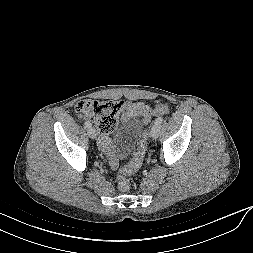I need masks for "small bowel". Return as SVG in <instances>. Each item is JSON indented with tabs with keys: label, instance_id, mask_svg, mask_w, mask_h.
<instances>
[{
	"label": "small bowel",
	"instance_id": "1",
	"mask_svg": "<svg viewBox=\"0 0 253 253\" xmlns=\"http://www.w3.org/2000/svg\"><path fill=\"white\" fill-rule=\"evenodd\" d=\"M122 109L126 110L130 115L140 116L144 122H148L152 115H163L168 112V106L158 104L155 107H150L148 104L140 101L125 102ZM100 145L109 159V164L112 168H117L120 161L123 159L122 153H117L114 146L107 135H102Z\"/></svg>",
	"mask_w": 253,
	"mask_h": 253
}]
</instances>
